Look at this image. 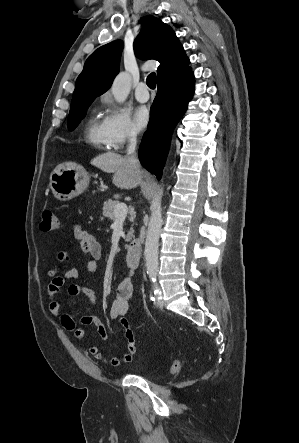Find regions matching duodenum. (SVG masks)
Instances as JSON below:
<instances>
[{
	"instance_id": "obj_1",
	"label": "duodenum",
	"mask_w": 299,
	"mask_h": 443,
	"mask_svg": "<svg viewBox=\"0 0 299 443\" xmlns=\"http://www.w3.org/2000/svg\"><path fill=\"white\" fill-rule=\"evenodd\" d=\"M142 245L139 239H134L127 247L126 261L131 267H136L140 263Z\"/></svg>"
}]
</instances>
